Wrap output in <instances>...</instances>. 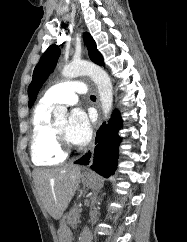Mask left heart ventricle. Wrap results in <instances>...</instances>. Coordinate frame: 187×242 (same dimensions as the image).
Here are the masks:
<instances>
[{
  "label": "left heart ventricle",
  "instance_id": "1",
  "mask_svg": "<svg viewBox=\"0 0 187 242\" xmlns=\"http://www.w3.org/2000/svg\"><path fill=\"white\" fill-rule=\"evenodd\" d=\"M66 126H67V120L66 119H62L60 121H58L56 124H55V128L57 129V131L59 133H61L63 136H65V129H66Z\"/></svg>",
  "mask_w": 187,
  "mask_h": 242
}]
</instances>
